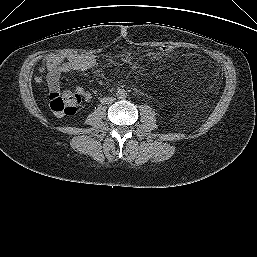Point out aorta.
I'll return each mask as SVG.
<instances>
[{
	"label": "aorta",
	"instance_id": "1",
	"mask_svg": "<svg viewBox=\"0 0 257 257\" xmlns=\"http://www.w3.org/2000/svg\"><path fill=\"white\" fill-rule=\"evenodd\" d=\"M117 98L120 100H124L127 98V91L125 89H118L117 93Z\"/></svg>",
	"mask_w": 257,
	"mask_h": 257
}]
</instances>
